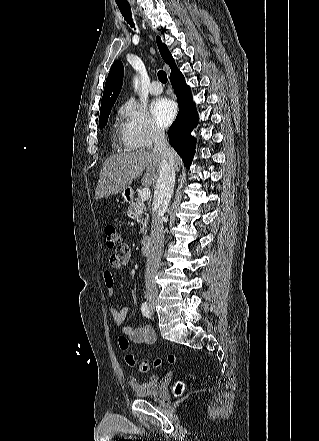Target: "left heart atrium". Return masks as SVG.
<instances>
[{"label":"left heart atrium","instance_id":"39dd6f15","mask_svg":"<svg viewBox=\"0 0 319 441\" xmlns=\"http://www.w3.org/2000/svg\"><path fill=\"white\" fill-rule=\"evenodd\" d=\"M151 112L161 127H167L174 118L176 106L173 101L160 97L152 102Z\"/></svg>","mask_w":319,"mask_h":441}]
</instances>
